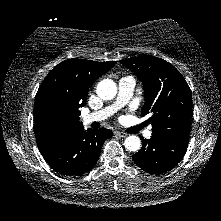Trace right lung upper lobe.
Instances as JSON below:
<instances>
[{"instance_id":"cb5924a9","label":"right lung upper lobe","mask_w":221,"mask_h":221,"mask_svg":"<svg viewBox=\"0 0 221 221\" xmlns=\"http://www.w3.org/2000/svg\"><path fill=\"white\" fill-rule=\"evenodd\" d=\"M116 62H96L72 58L56 65L41 83L35 96V134L39 151L46 154L83 127L79 108L86 104L88 90L98 77ZM58 109L59 121L46 119V112Z\"/></svg>"}]
</instances>
